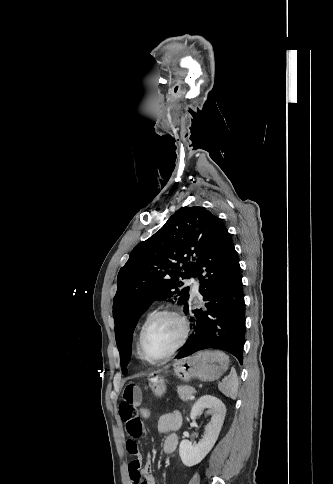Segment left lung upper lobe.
I'll return each instance as SVG.
<instances>
[{
  "label": "left lung upper lobe",
  "instance_id": "5c2ea615",
  "mask_svg": "<svg viewBox=\"0 0 333 484\" xmlns=\"http://www.w3.org/2000/svg\"><path fill=\"white\" fill-rule=\"evenodd\" d=\"M214 218L203 207L180 208L158 232L132 250L120 269L113 317L123 374H127L133 331L152 301L173 298L188 304L190 288H184L182 280L192 276Z\"/></svg>",
  "mask_w": 333,
  "mask_h": 484
}]
</instances>
